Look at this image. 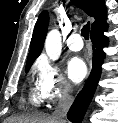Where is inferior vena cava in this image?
Wrapping results in <instances>:
<instances>
[{
	"label": "inferior vena cava",
	"mask_w": 118,
	"mask_h": 123,
	"mask_svg": "<svg viewBox=\"0 0 118 123\" xmlns=\"http://www.w3.org/2000/svg\"><path fill=\"white\" fill-rule=\"evenodd\" d=\"M71 87L66 84L63 86L59 102L52 114V116L61 123H65V116L72 104V96L70 95Z\"/></svg>",
	"instance_id": "inferior-vena-cava-1"
}]
</instances>
